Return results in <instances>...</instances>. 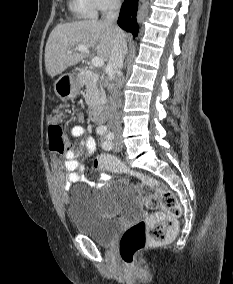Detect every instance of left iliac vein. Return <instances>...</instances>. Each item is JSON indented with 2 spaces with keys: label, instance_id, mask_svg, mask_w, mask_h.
I'll return each mask as SVG.
<instances>
[{
  "label": "left iliac vein",
  "instance_id": "left-iliac-vein-1",
  "mask_svg": "<svg viewBox=\"0 0 233 284\" xmlns=\"http://www.w3.org/2000/svg\"><path fill=\"white\" fill-rule=\"evenodd\" d=\"M112 148L114 151H120L122 149V142L120 137H115L113 140Z\"/></svg>",
  "mask_w": 233,
  "mask_h": 284
}]
</instances>
